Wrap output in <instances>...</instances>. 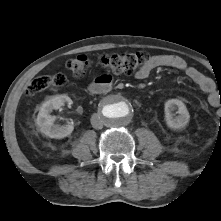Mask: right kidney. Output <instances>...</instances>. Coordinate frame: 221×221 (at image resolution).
I'll return each instance as SVG.
<instances>
[{
  "instance_id": "ca27d5eb",
  "label": "right kidney",
  "mask_w": 221,
  "mask_h": 221,
  "mask_svg": "<svg viewBox=\"0 0 221 221\" xmlns=\"http://www.w3.org/2000/svg\"><path fill=\"white\" fill-rule=\"evenodd\" d=\"M65 103L72 104L70 97L66 95L52 96L42 104L37 115L36 124L41 133L50 138L62 139L69 136L73 129V123L66 125L54 124L55 116L50 115L54 109H61Z\"/></svg>"
}]
</instances>
